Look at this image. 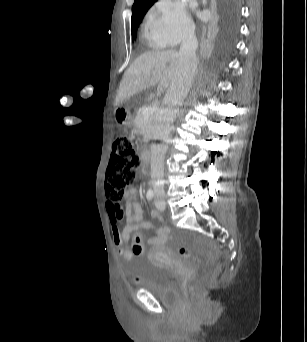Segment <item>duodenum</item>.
Listing matches in <instances>:
<instances>
[{"label": "duodenum", "mask_w": 307, "mask_h": 342, "mask_svg": "<svg viewBox=\"0 0 307 342\" xmlns=\"http://www.w3.org/2000/svg\"><path fill=\"white\" fill-rule=\"evenodd\" d=\"M140 155H141L143 167L146 169L149 166L151 154L148 150L143 149L141 150Z\"/></svg>", "instance_id": "obj_1"}]
</instances>
